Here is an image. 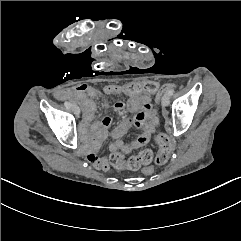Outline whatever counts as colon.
Instances as JSON below:
<instances>
[{
  "instance_id": "5ec220e1",
  "label": "colon",
  "mask_w": 241,
  "mask_h": 241,
  "mask_svg": "<svg viewBox=\"0 0 241 241\" xmlns=\"http://www.w3.org/2000/svg\"><path fill=\"white\" fill-rule=\"evenodd\" d=\"M171 84V83H170ZM170 84H163L161 88L157 87L158 84L155 81H139L134 80L131 84H128L124 87V90L126 94L133 95L137 92H148L152 93V90L154 87L157 88V91L155 92V101L156 104L158 101H160L162 96V91H166L168 89V85ZM179 85V84H177ZM176 87V86H175ZM160 143V152L159 155L155 158V164L157 167H163L165 165V160L168 158L170 151H169V139L166 135H161L159 138ZM153 154L150 149H144L142 150L138 155L130 158L129 160H126L124 156L121 153H114L110 157V163L112 166L118 169L122 168H129V169H138L143 165H146L145 170L143 171V174L145 176H148L151 172H153L154 167L153 165L149 164L152 160ZM148 164V165H147Z\"/></svg>"
}]
</instances>
